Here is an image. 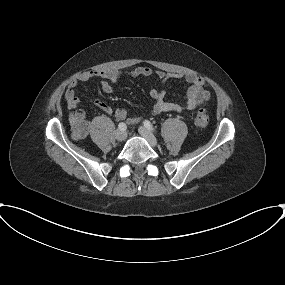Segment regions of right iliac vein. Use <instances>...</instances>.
Listing matches in <instances>:
<instances>
[{"instance_id":"obj_1","label":"right iliac vein","mask_w":285,"mask_h":285,"mask_svg":"<svg viewBox=\"0 0 285 285\" xmlns=\"http://www.w3.org/2000/svg\"><path fill=\"white\" fill-rule=\"evenodd\" d=\"M126 137H127V133L125 131L117 130L115 132V138L117 141H123L126 139Z\"/></svg>"}]
</instances>
